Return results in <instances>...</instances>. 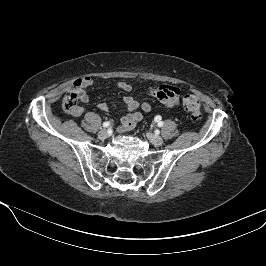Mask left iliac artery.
Segmentation results:
<instances>
[{
	"mask_svg": "<svg viewBox=\"0 0 266 266\" xmlns=\"http://www.w3.org/2000/svg\"><path fill=\"white\" fill-rule=\"evenodd\" d=\"M156 119H160V116H156ZM164 125L163 121H159L158 126L162 127Z\"/></svg>",
	"mask_w": 266,
	"mask_h": 266,
	"instance_id": "obj_1",
	"label": "left iliac artery"
}]
</instances>
